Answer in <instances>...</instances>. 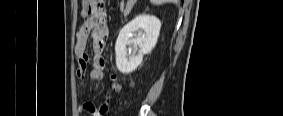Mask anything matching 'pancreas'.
Segmentation results:
<instances>
[{"instance_id": "obj_1", "label": "pancreas", "mask_w": 283, "mask_h": 116, "mask_svg": "<svg viewBox=\"0 0 283 116\" xmlns=\"http://www.w3.org/2000/svg\"><path fill=\"white\" fill-rule=\"evenodd\" d=\"M121 12H122V14L124 15V16H127L129 13H130V11H131V7L130 6H126L125 8L124 7H121Z\"/></svg>"}]
</instances>
